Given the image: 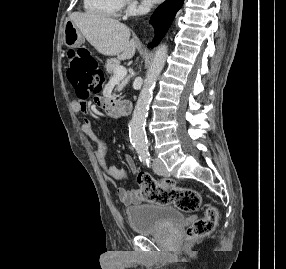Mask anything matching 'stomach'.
<instances>
[{"label":"stomach","instance_id":"stomach-1","mask_svg":"<svg viewBox=\"0 0 286 269\" xmlns=\"http://www.w3.org/2000/svg\"><path fill=\"white\" fill-rule=\"evenodd\" d=\"M83 34L72 22L67 21L63 29V42L67 47L77 48L83 43Z\"/></svg>","mask_w":286,"mask_h":269}]
</instances>
